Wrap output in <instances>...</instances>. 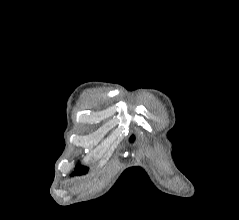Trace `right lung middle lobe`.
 <instances>
[{"mask_svg": "<svg viewBox=\"0 0 239 220\" xmlns=\"http://www.w3.org/2000/svg\"><path fill=\"white\" fill-rule=\"evenodd\" d=\"M76 170L77 171L75 172V174L76 175H81V174L86 173L88 171V168L83 167V166H77Z\"/></svg>", "mask_w": 239, "mask_h": 220, "instance_id": "dd1d6c3e", "label": "right lung middle lobe"}]
</instances>
